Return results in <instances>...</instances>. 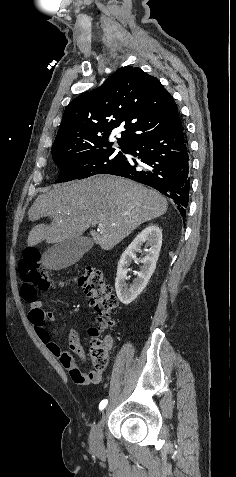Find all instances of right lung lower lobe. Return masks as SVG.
I'll return each mask as SVG.
<instances>
[{
  "mask_svg": "<svg viewBox=\"0 0 236 477\" xmlns=\"http://www.w3.org/2000/svg\"><path fill=\"white\" fill-rule=\"evenodd\" d=\"M140 159L126 160L107 174L149 185L174 200L184 218L190 190V151L179 116L167 129L131 143L124 151Z\"/></svg>",
  "mask_w": 236,
  "mask_h": 477,
  "instance_id": "98d812e1",
  "label": "right lung lower lobe"
}]
</instances>
